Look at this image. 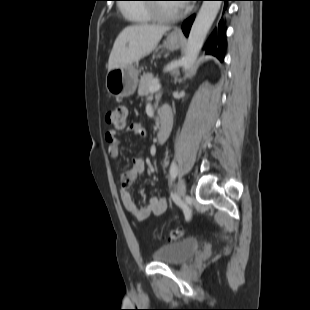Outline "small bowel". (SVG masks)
<instances>
[{
    "mask_svg": "<svg viewBox=\"0 0 310 310\" xmlns=\"http://www.w3.org/2000/svg\"><path fill=\"white\" fill-rule=\"evenodd\" d=\"M169 110L168 106H164ZM128 130L136 136L145 137L146 130L140 123H134L129 126ZM105 139L108 142V154L111 158L117 159L120 154V143L117 139V131L110 130L106 133ZM145 170V161L141 157L132 160V166L123 172L119 179L120 197L126 211L138 222L146 220L149 216H160L167 210V200L162 197L152 196L141 207L137 206L130 194V187L135 180L143 174Z\"/></svg>",
    "mask_w": 310,
    "mask_h": 310,
    "instance_id": "obj_1",
    "label": "small bowel"
}]
</instances>
